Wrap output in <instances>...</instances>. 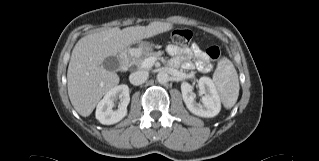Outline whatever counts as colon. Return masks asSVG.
Masks as SVG:
<instances>
[{"label": "colon", "instance_id": "5ec220e1", "mask_svg": "<svg viewBox=\"0 0 319 161\" xmlns=\"http://www.w3.org/2000/svg\"><path fill=\"white\" fill-rule=\"evenodd\" d=\"M192 38V32L188 29H178L172 33V40L178 44H186ZM206 56L215 61L220 57V48L216 45H212L206 48Z\"/></svg>", "mask_w": 319, "mask_h": 161}]
</instances>
